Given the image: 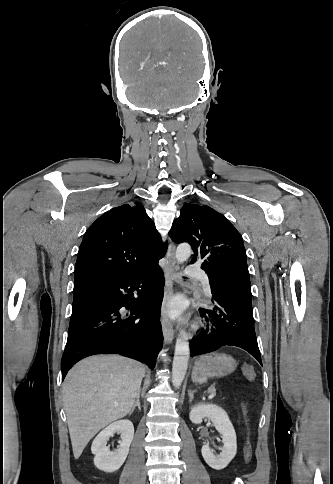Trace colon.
<instances>
[{"label": "colon", "instance_id": "5ec220e1", "mask_svg": "<svg viewBox=\"0 0 333 484\" xmlns=\"http://www.w3.org/2000/svg\"><path fill=\"white\" fill-rule=\"evenodd\" d=\"M242 373L250 381H253L256 377V373H255L254 368L249 364H244L242 366ZM243 411H244V415H245L246 425H248V421H249L248 411H247V406L245 404H243ZM248 436H249V432H248V429H247V439H246L245 446H244V459H245L246 463H249L251 461V458H252V448H251V444H250Z\"/></svg>", "mask_w": 333, "mask_h": 484}]
</instances>
